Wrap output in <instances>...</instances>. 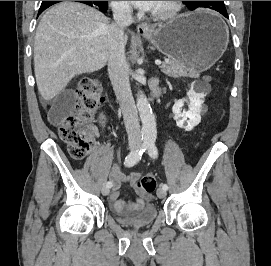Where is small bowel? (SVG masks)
<instances>
[{"instance_id":"c3829d8e","label":"small bowel","mask_w":271,"mask_h":266,"mask_svg":"<svg viewBox=\"0 0 271 266\" xmlns=\"http://www.w3.org/2000/svg\"><path fill=\"white\" fill-rule=\"evenodd\" d=\"M75 100L74 94L71 90H66L57 95L49 106V117L52 123L57 124L60 119L71 109ZM101 123H104V117L100 119ZM93 135H98V129L92 128ZM141 174L138 172L124 175L116 168L110 173V178L113 182V189L110 194V202L112 207L117 212L122 211H139L141 210L147 201L152 198L151 194L144 193L137 189L138 197L133 201H124L120 199V188L123 184L128 183L135 185Z\"/></svg>"}]
</instances>
